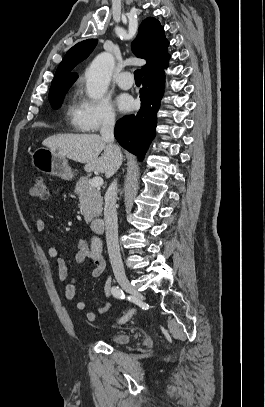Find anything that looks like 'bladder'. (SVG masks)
<instances>
[{
  "mask_svg": "<svg viewBox=\"0 0 265 407\" xmlns=\"http://www.w3.org/2000/svg\"><path fill=\"white\" fill-rule=\"evenodd\" d=\"M110 339L116 344H124L130 341V336L124 333H115L110 336Z\"/></svg>",
  "mask_w": 265,
  "mask_h": 407,
  "instance_id": "1",
  "label": "bladder"
}]
</instances>
